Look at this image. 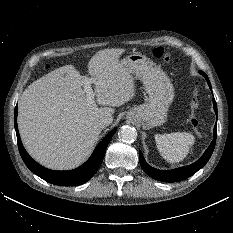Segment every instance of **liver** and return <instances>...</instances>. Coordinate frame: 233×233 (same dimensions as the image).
<instances>
[{"mask_svg": "<svg viewBox=\"0 0 233 233\" xmlns=\"http://www.w3.org/2000/svg\"><path fill=\"white\" fill-rule=\"evenodd\" d=\"M124 49L98 51L88 63L98 107L87 101L74 65L57 68L30 84L18 101V128L27 152L41 165L73 169L84 162L101 133L100 117H112L135 94L134 79L119 61Z\"/></svg>", "mask_w": 233, "mask_h": 233, "instance_id": "obj_1", "label": "liver"}]
</instances>
